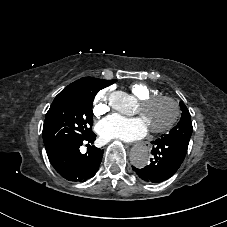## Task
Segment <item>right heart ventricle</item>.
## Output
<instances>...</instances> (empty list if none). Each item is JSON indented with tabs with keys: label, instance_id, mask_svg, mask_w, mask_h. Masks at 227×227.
<instances>
[{
	"label": "right heart ventricle",
	"instance_id": "e07e8e85",
	"mask_svg": "<svg viewBox=\"0 0 227 227\" xmlns=\"http://www.w3.org/2000/svg\"><path fill=\"white\" fill-rule=\"evenodd\" d=\"M130 93L136 100H143L147 97L158 95L159 91L155 88L149 87L142 82H133L129 86Z\"/></svg>",
	"mask_w": 227,
	"mask_h": 227
}]
</instances>
